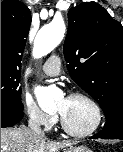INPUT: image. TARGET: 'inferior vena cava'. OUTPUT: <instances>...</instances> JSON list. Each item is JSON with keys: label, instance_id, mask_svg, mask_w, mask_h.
Returning <instances> with one entry per match:
<instances>
[{"label": "inferior vena cava", "instance_id": "inferior-vena-cava-1", "mask_svg": "<svg viewBox=\"0 0 123 152\" xmlns=\"http://www.w3.org/2000/svg\"><path fill=\"white\" fill-rule=\"evenodd\" d=\"M28 127L33 133L39 136H43V137L45 136L44 132L41 130V125L38 119L30 117L28 121Z\"/></svg>", "mask_w": 123, "mask_h": 152}]
</instances>
